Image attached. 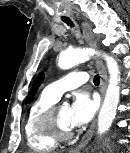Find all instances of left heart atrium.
Listing matches in <instances>:
<instances>
[{
	"label": "left heart atrium",
	"instance_id": "1",
	"mask_svg": "<svg viewBox=\"0 0 130 153\" xmlns=\"http://www.w3.org/2000/svg\"><path fill=\"white\" fill-rule=\"evenodd\" d=\"M98 106L97 98L90 96L87 92L76 94L70 107L71 126L88 123L95 115Z\"/></svg>",
	"mask_w": 130,
	"mask_h": 153
}]
</instances>
